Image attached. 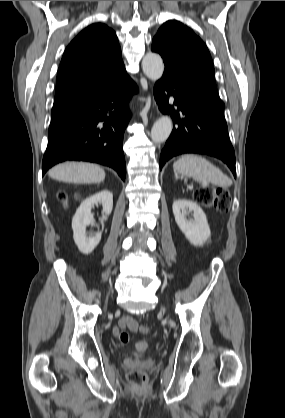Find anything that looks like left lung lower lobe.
Instances as JSON below:
<instances>
[{
  "mask_svg": "<svg viewBox=\"0 0 285 418\" xmlns=\"http://www.w3.org/2000/svg\"><path fill=\"white\" fill-rule=\"evenodd\" d=\"M152 51L160 54L155 46ZM163 60L165 70L154 86V97L160 111L175 119L173 131L160 155V169L174 156L198 153L219 158L236 177L235 153L224 118V103L217 90L169 60ZM169 101L174 102L177 110ZM180 115H183L181 119Z\"/></svg>",
  "mask_w": 285,
  "mask_h": 418,
  "instance_id": "1",
  "label": "left lung lower lobe"
}]
</instances>
